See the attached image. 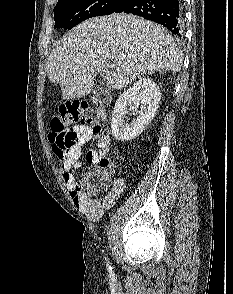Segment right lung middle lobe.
Instances as JSON below:
<instances>
[{
  "instance_id": "right-lung-middle-lobe-1",
  "label": "right lung middle lobe",
  "mask_w": 233,
  "mask_h": 294,
  "mask_svg": "<svg viewBox=\"0 0 233 294\" xmlns=\"http://www.w3.org/2000/svg\"><path fill=\"white\" fill-rule=\"evenodd\" d=\"M123 0H58L54 28L71 29L95 16L112 14Z\"/></svg>"
}]
</instances>
